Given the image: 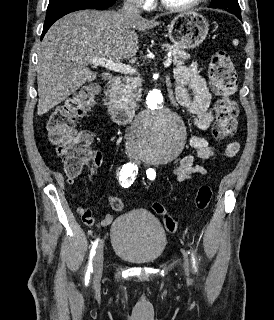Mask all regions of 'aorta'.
Returning a JSON list of instances; mask_svg holds the SVG:
<instances>
[{"label":"aorta","mask_w":274,"mask_h":320,"mask_svg":"<svg viewBox=\"0 0 274 320\" xmlns=\"http://www.w3.org/2000/svg\"><path fill=\"white\" fill-rule=\"evenodd\" d=\"M147 107L131 127V141L137 152L152 162L174 160L181 152L186 129L180 116L167 103L159 89L150 90Z\"/></svg>","instance_id":"762f6f07"}]
</instances>
